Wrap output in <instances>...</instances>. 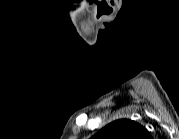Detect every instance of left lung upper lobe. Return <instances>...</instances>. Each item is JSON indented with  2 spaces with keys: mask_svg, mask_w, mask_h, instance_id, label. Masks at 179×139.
Listing matches in <instances>:
<instances>
[{
  "mask_svg": "<svg viewBox=\"0 0 179 139\" xmlns=\"http://www.w3.org/2000/svg\"><path fill=\"white\" fill-rule=\"evenodd\" d=\"M95 136L99 139H145L149 132L133 120L119 119L106 125Z\"/></svg>",
  "mask_w": 179,
  "mask_h": 139,
  "instance_id": "obj_1",
  "label": "left lung upper lobe"
}]
</instances>
